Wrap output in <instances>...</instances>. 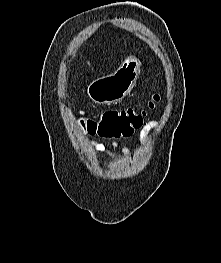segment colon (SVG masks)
<instances>
[{
  "mask_svg": "<svg viewBox=\"0 0 221 263\" xmlns=\"http://www.w3.org/2000/svg\"><path fill=\"white\" fill-rule=\"evenodd\" d=\"M158 101L159 96L153 95L147 102V108H153ZM145 114V109H112L105 111L98 118L81 119V125L84 133L90 136L127 137L141 127Z\"/></svg>",
  "mask_w": 221,
  "mask_h": 263,
  "instance_id": "5ec220e1",
  "label": "colon"
}]
</instances>
